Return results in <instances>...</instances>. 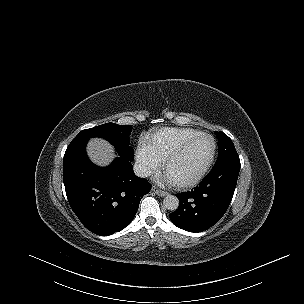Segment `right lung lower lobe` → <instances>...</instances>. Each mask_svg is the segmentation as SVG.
<instances>
[{
  "mask_svg": "<svg viewBox=\"0 0 304 304\" xmlns=\"http://www.w3.org/2000/svg\"><path fill=\"white\" fill-rule=\"evenodd\" d=\"M89 139H73L66 149L64 186L69 204L91 232L107 236L124 229L134 218L151 184L134 174L121 156L108 167L93 164L86 154Z\"/></svg>",
  "mask_w": 304,
  "mask_h": 304,
  "instance_id": "98d812e1",
  "label": "right lung lower lobe"
}]
</instances>
